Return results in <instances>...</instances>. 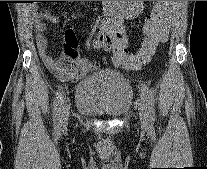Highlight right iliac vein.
Returning <instances> with one entry per match:
<instances>
[{
	"instance_id": "1",
	"label": "right iliac vein",
	"mask_w": 207,
	"mask_h": 169,
	"mask_svg": "<svg viewBox=\"0 0 207 169\" xmlns=\"http://www.w3.org/2000/svg\"><path fill=\"white\" fill-rule=\"evenodd\" d=\"M68 117H69V109L67 107H65L63 109L62 112V117H61V121H60V127H65L68 121Z\"/></svg>"
}]
</instances>
